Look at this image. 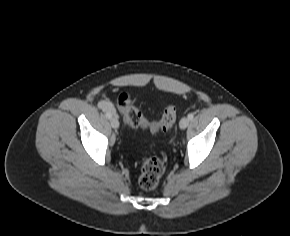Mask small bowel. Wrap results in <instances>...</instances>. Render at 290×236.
Here are the masks:
<instances>
[{"instance_id":"obj_1","label":"small bowel","mask_w":290,"mask_h":236,"mask_svg":"<svg viewBox=\"0 0 290 236\" xmlns=\"http://www.w3.org/2000/svg\"><path fill=\"white\" fill-rule=\"evenodd\" d=\"M100 107L103 110H108L110 112H114L113 106H112V104L108 100H102L100 102Z\"/></svg>"}]
</instances>
